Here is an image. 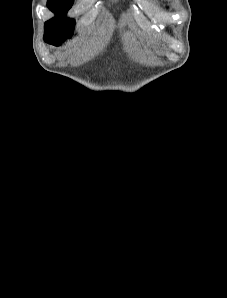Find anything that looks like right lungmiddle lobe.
<instances>
[{
	"instance_id": "dd1d6c3e",
	"label": "right lung middle lobe",
	"mask_w": 227,
	"mask_h": 298,
	"mask_svg": "<svg viewBox=\"0 0 227 298\" xmlns=\"http://www.w3.org/2000/svg\"><path fill=\"white\" fill-rule=\"evenodd\" d=\"M74 0H48L47 7L56 14L45 23L44 39L58 46L73 33L75 22L65 15L72 7Z\"/></svg>"
}]
</instances>
